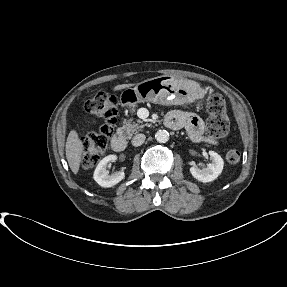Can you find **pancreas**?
I'll return each mask as SVG.
<instances>
[{
	"label": "pancreas",
	"mask_w": 287,
	"mask_h": 287,
	"mask_svg": "<svg viewBox=\"0 0 287 287\" xmlns=\"http://www.w3.org/2000/svg\"><path fill=\"white\" fill-rule=\"evenodd\" d=\"M145 125L143 121L137 120L136 122H132L129 120L124 123V125L119 129L127 138H131L134 134H137Z\"/></svg>",
	"instance_id": "cf45deb5"
}]
</instances>
